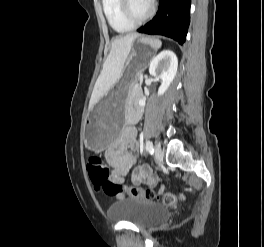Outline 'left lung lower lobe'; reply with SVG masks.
<instances>
[{"mask_svg": "<svg viewBox=\"0 0 264 247\" xmlns=\"http://www.w3.org/2000/svg\"><path fill=\"white\" fill-rule=\"evenodd\" d=\"M190 6L191 0H160L156 15L138 32L163 35L182 45L190 24Z\"/></svg>", "mask_w": 264, "mask_h": 247, "instance_id": "0a47b994", "label": "left lung lower lobe"}]
</instances>
